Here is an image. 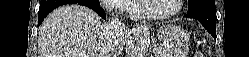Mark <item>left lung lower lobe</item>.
Returning a JSON list of instances; mask_svg holds the SVG:
<instances>
[{
    "label": "left lung lower lobe",
    "mask_w": 249,
    "mask_h": 57,
    "mask_svg": "<svg viewBox=\"0 0 249 57\" xmlns=\"http://www.w3.org/2000/svg\"><path fill=\"white\" fill-rule=\"evenodd\" d=\"M185 17L198 20L216 39V9L215 4H204L187 12Z\"/></svg>",
    "instance_id": "1"
}]
</instances>
